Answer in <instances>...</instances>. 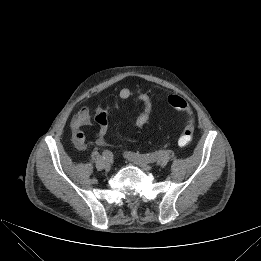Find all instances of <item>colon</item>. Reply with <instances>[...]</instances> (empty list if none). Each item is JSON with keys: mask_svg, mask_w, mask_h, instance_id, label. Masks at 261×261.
Returning a JSON list of instances; mask_svg holds the SVG:
<instances>
[{"mask_svg": "<svg viewBox=\"0 0 261 261\" xmlns=\"http://www.w3.org/2000/svg\"><path fill=\"white\" fill-rule=\"evenodd\" d=\"M167 103L174 109L186 113L188 116L187 122L183 127L178 139V144L180 146H186L192 141L193 133H194L193 123H192V119L190 118V111L188 105L186 101L178 95H170L167 98Z\"/></svg>", "mask_w": 261, "mask_h": 261, "instance_id": "5ec220e1", "label": "colon"}]
</instances>
